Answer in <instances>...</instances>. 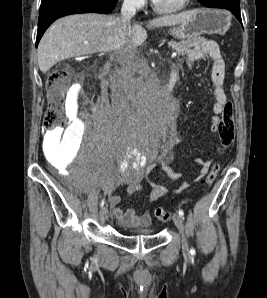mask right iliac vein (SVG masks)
Instances as JSON below:
<instances>
[{"label":"right iliac vein","mask_w":267,"mask_h":298,"mask_svg":"<svg viewBox=\"0 0 267 298\" xmlns=\"http://www.w3.org/2000/svg\"><path fill=\"white\" fill-rule=\"evenodd\" d=\"M108 216H109L108 208L106 206L102 207V209L100 210L101 222H105L108 219Z\"/></svg>","instance_id":"1"}]
</instances>
